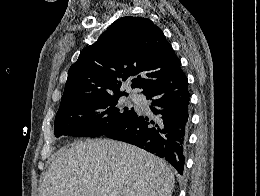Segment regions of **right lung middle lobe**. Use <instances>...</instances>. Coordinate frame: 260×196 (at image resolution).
I'll return each instance as SVG.
<instances>
[{
	"mask_svg": "<svg viewBox=\"0 0 260 196\" xmlns=\"http://www.w3.org/2000/svg\"><path fill=\"white\" fill-rule=\"evenodd\" d=\"M122 95L95 94L58 110L55 136L98 137L135 120L139 115L133 108L121 104L119 99Z\"/></svg>",
	"mask_w": 260,
	"mask_h": 196,
	"instance_id": "1",
	"label": "right lung middle lobe"
}]
</instances>
